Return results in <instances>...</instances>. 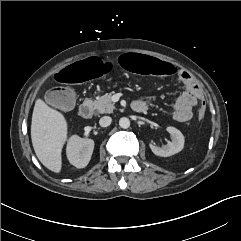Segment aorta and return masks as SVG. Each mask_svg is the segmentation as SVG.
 Segmentation results:
<instances>
[{
  "mask_svg": "<svg viewBox=\"0 0 241 241\" xmlns=\"http://www.w3.org/2000/svg\"><path fill=\"white\" fill-rule=\"evenodd\" d=\"M119 125L123 129H127L130 127V120L126 117H123L119 120Z\"/></svg>",
  "mask_w": 241,
  "mask_h": 241,
  "instance_id": "762f6f07",
  "label": "aorta"
}]
</instances>
